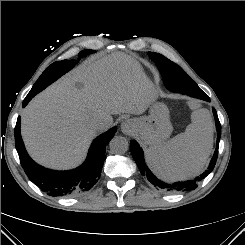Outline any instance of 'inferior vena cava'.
Here are the masks:
<instances>
[{
  "mask_svg": "<svg viewBox=\"0 0 245 245\" xmlns=\"http://www.w3.org/2000/svg\"><path fill=\"white\" fill-rule=\"evenodd\" d=\"M106 125H107V122H105V121H103V120L97 121V127H98V128H102V127H104V126H106Z\"/></svg>",
  "mask_w": 245,
  "mask_h": 245,
  "instance_id": "1",
  "label": "inferior vena cava"
}]
</instances>
